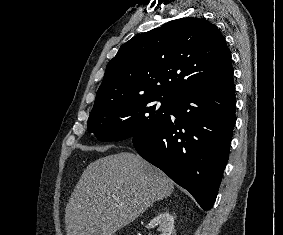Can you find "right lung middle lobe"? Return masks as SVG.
<instances>
[{
	"mask_svg": "<svg viewBox=\"0 0 283 235\" xmlns=\"http://www.w3.org/2000/svg\"><path fill=\"white\" fill-rule=\"evenodd\" d=\"M172 98L143 96L93 107L87 128L101 141H120L148 134L169 116ZM160 101L161 105H157Z\"/></svg>",
	"mask_w": 283,
	"mask_h": 235,
	"instance_id": "obj_1",
	"label": "right lung middle lobe"
}]
</instances>
